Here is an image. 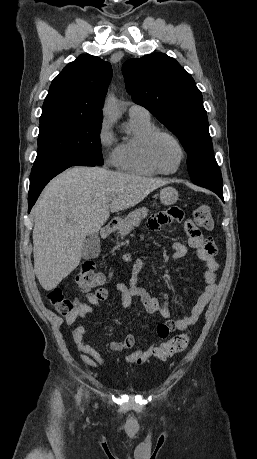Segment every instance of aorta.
<instances>
[{
    "label": "aorta",
    "mask_w": 257,
    "mask_h": 459,
    "mask_svg": "<svg viewBox=\"0 0 257 459\" xmlns=\"http://www.w3.org/2000/svg\"><path fill=\"white\" fill-rule=\"evenodd\" d=\"M104 114L108 119L112 121L119 120L120 115H119L117 106L113 98H110L108 102L106 103L105 108H104Z\"/></svg>",
    "instance_id": "aorta-1"
}]
</instances>
